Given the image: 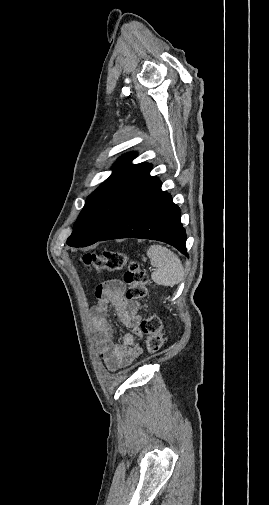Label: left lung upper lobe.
Wrapping results in <instances>:
<instances>
[{
	"label": "left lung upper lobe",
	"mask_w": 269,
	"mask_h": 505,
	"mask_svg": "<svg viewBox=\"0 0 269 505\" xmlns=\"http://www.w3.org/2000/svg\"><path fill=\"white\" fill-rule=\"evenodd\" d=\"M135 157L136 153H128L119 158L111 176L88 196L67 240L69 246H89L111 228L148 166V163L131 164Z\"/></svg>",
	"instance_id": "left-lung-upper-lobe-1"
}]
</instances>
